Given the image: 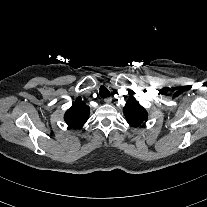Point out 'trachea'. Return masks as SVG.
Segmentation results:
<instances>
[{
    "instance_id": "trachea-1",
    "label": "trachea",
    "mask_w": 207,
    "mask_h": 207,
    "mask_svg": "<svg viewBox=\"0 0 207 207\" xmlns=\"http://www.w3.org/2000/svg\"><path fill=\"white\" fill-rule=\"evenodd\" d=\"M99 93L102 98L109 97L111 94L110 91L105 86L100 87Z\"/></svg>"
}]
</instances>
